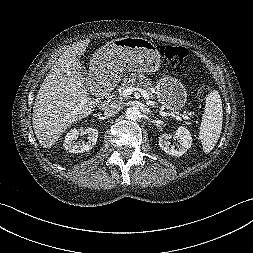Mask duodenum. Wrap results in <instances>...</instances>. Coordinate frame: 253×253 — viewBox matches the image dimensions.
I'll return each instance as SVG.
<instances>
[{
	"mask_svg": "<svg viewBox=\"0 0 253 253\" xmlns=\"http://www.w3.org/2000/svg\"><path fill=\"white\" fill-rule=\"evenodd\" d=\"M112 94L110 90H104L102 94L100 95V102L102 104H107L111 101Z\"/></svg>",
	"mask_w": 253,
	"mask_h": 253,
	"instance_id": "410a0bca",
	"label": "duodenum"
}]
</instances>
